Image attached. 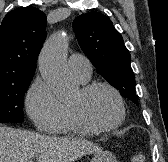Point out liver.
I'll list each match as a JSON object with an SVG mask.
<instances>
[{
  "mask_svg": "<svg viewBox=\"0 0 168 162\" xmlns=\"http://www.w3.org/2000/svg\"><path fill=\"white\" fill-rule=\"evenodd\" d=\"M101 148L84 139L40 135L35 132L0 126V162H73L100 152Z\"/></svg>",
  "mask_w": 168,
  "mask_h": 162,
  "instance_id": "6515ba94",
  "label": "liver"
}]
</instances>
